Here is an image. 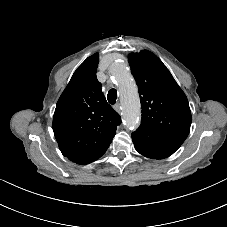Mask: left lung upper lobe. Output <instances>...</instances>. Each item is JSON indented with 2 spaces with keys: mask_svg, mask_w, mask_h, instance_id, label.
Returning <instances> with one entry per match:
<instances>
[{
  "mask_svg": "<svg viewBox=\"0 0 227 227\" xmlns=\"http://www.w3.org/2000/svg\"><path fill=\"white\" fill-rule=\"evenodd\" d=\"M128 61L141 101L140 127L182 144L191 126L186 95L154 53L148 50L131 53Z\"/></svg>",
  "mask_w": 227,
  "mask_h": 227,
  "instance_id": "left-lung-upper-lobe-1",
  "label": "left lung upper lobe"
}]
</instances>
